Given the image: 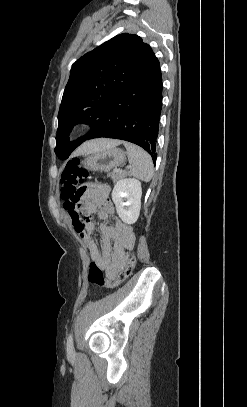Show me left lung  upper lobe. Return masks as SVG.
<instances>
[{"label":"left lung upper lobe","instance_id":"left-lung-upper-lobe-1","mask_svg":"<svg viewBox=\"0 0 247 407\" xmlns=\"http://www.w3.org/2000/svg\"><path fill=\"white\" fill-rule=\"evenodd\" d=\"M141 37L120 34L78 59L72 66L58 113L55 153L64 160L99 125L118 93L154 56ZM91 126L90 132L70 142L75 124Z\"/></svg>","mask_w":247,"mask_h":407}]
</instances>
